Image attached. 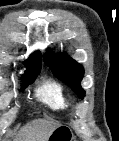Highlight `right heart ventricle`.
<instances>
[{
	"label": "right heart ventricle",
	"mask_w": 119,
	"mask_h": 141,
	"mask_svg": "<svg viewBox=\"0 0 119 141\" xmlns=\"http://www.w3.org/2000/svg\"><path fill=\"white\" fill-rule=\"evenodd\" d=\"M40 101L55 111H63L70 105L63 86L54 80L44 82L36 91Z\"/></svg>",
	"instance_id": "e07e8e85"
}]
</instances>
